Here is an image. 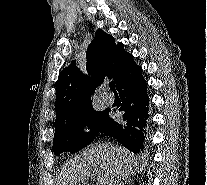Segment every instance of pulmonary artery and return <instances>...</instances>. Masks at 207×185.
<instances>
[{
    "mask_svg": "<svg viewBox=\"0 0 207 185\" xmlns=\"http://www.w3.org/2000/svg\"><path fill=\"white\" fill-rule=\"evenodd\" d=\"M100 98L102 99L103 102H105L106 104H111L114 101V98L112 95H110L109 93H102L100 95Z\"/></svg>",
    "mask_w": 207,
    "mask_h": 185,
    "instance_id": "e3ab8cb5",
    "label": "pulmonary artery"
}]
</instances>
